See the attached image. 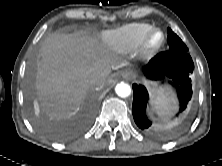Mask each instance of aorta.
<instances>
[{
    "label": "aorta",
    "mask_w": 222,
    "mask_h": 166,
    "mask_svg": "<svg viewBox=\"0 0 222 166\" xmlns=\"http://www.w3.org/2000/svg\"><path fill=\"white\" fill-rule=\"evenodd\" d=\"M115 92L119 97H128L131 93V88L127 83L121 82L116 85Z\"/></svg>",
    "instance_id": "aorta-1"
}]
</instances>
